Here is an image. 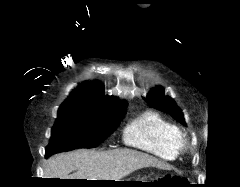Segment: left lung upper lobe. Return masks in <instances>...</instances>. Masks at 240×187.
I'll return each mask as SVG.
<instances>
[{
  "mask_svg": "<svg viewBox=\"0 0 240 187\" xmlns=\"http://www.w3.org/2000/svg\"><path fill=\"white\" fill-rule=\"evenodd\" d=\"M164 90L160 87L152 89L151 93L144 98L147 103L156 109L171 114L177 121L186 125L182 111L176 105L175 101L167 96L163 95Z\"/></svg>",
  "mask_w": 240,
  "mask_h": 187,
  "instance_id": "obj_1",
  "label": "left lung upper lobe"
}]
</instances>
